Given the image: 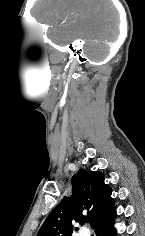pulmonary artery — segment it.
I'll return each instance as SVG.
<instances>
[{"instance_id":"pulmonary-artery-1","label":"pulmonary artery","mask_w":145,"mask_h":236,"mask_svg":"<svg viewBox=\"0 0 145 236\" xmlns=\"http://www.w3.org/2000/svg\"><path fill=\"white\" fill-rule=\"evenodd\" d=\"M89 235H90V233H89L88 229H86V228H81V229L79 230V236H89Z\"/></svg>"}]
</instances>
